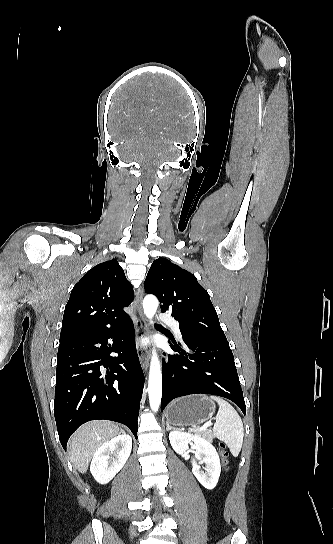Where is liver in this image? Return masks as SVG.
I'll use <instances>...</instances> for the list:
<instances>
[{
    "label": "liver",
    "mask_w": 333,
    "mask_h": 544,
    "mask_svg": "<svg viewBox=\"0 0 333 544\" xmlns=\"http://www.w3.org/2000/svg\"><path fill=\"white\" fill-rule=\"evenodd\" d=\"M118 434V425L108 421H93L81 426L69 441L73 467L80 473H86L97 449Z\"/></svg>",
    "instance_id": "obj_1"
}]
</instances>
